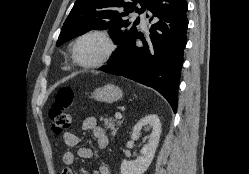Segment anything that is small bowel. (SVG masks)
<instances>
[{
    "label": "small bowel",
    "instance_id": "c3829d8e",
    "mask_svg": "<svg viewBox=\"0 0 249 174\" xmlns=\"http://www.w3.org/2000/svg\"><path fill=\"white\" fill-rule=\"evenodd\" d=\"M81 128L83 131H90L93 134V137L96 140V143L99 148H106L109 144V139L106 135V132L103 128L97 125V121L94 117L85 118L82 122ZM64 143L69 147H78L80 144V138L72 132H66L63 135ZM77 156L80 158L88 159L96 157L97 154L90 148L80 147L77 149ZM76 155L67 151L62 156V161L66 167L62 170V174H74L70 166L74 163ZM99 174H113L112 168L110 165L103 161L99 165Z\"/></svg>",
    "mask_w": 249,
    "mask_h": 174
}]
</instances>
